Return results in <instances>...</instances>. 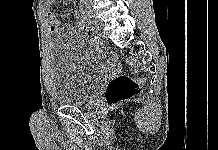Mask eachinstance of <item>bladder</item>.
<instances>
[{
	"label": "bladder",
	"instance_id": "obj_1",
	"mask_svg": "<svg viewBox=\"0 0 218 150\" xmlns=\"http://www.w3.org/2000/svg\"><path fill=\"white\" fill-rule=\"evenodd\" d=\"M56 61L53 96L65 106H83L97 93L113 64L97 47L71 31L53 40Z\"/></svg>",
	"mask_w": 218,
	"mask_h": 150
}]
</instances>
